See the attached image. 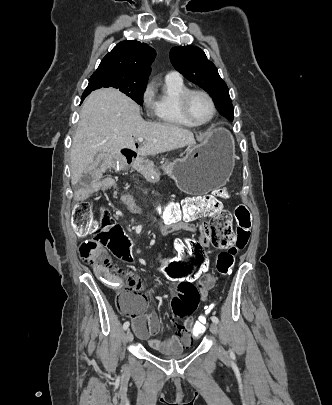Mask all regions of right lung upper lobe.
Listing matches in <instances>:
<instances>
[{
    "label": "right lung upper lobe",
    "mask_w": 332,
    "mask_h": 405,
    "mask_svg": "<svg viewBox=\"0 0 332 405\" xmlns=\"http://www.w3.org/2000/svg\"><path fill=\"white\" fill-rule=\"evenodd\" d=\"M155 56V50L148 44L122 41L103 58L96 72H115L148 81Z\"/></svg>",
    "instance_id": "1"
}]
</instances>
